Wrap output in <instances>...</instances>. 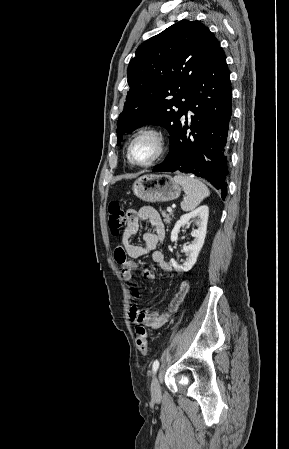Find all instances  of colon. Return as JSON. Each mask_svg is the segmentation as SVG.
Wrapping results in <instances>:
<instances>
[{
  "mask_svg": "<svg viewBox=\"0 0 289 449\" xmlns=\"http://www.w3.org/2000/svg\"><path fill=\"white\" fill-rule=\"evenodd\" d=\"M126 217L121 208V205L117 201H113L108 207V225L110 232L113 235H118L123 226L125 225ZM136 346L138 351L142 355L148 353V332L146 328L139 325L136 329Z\"/></svg>",
  "mask_w": 289,
  "mask_h": 449,
  "instance_id": "1",
  "label": "colon"
}]
</instances>
